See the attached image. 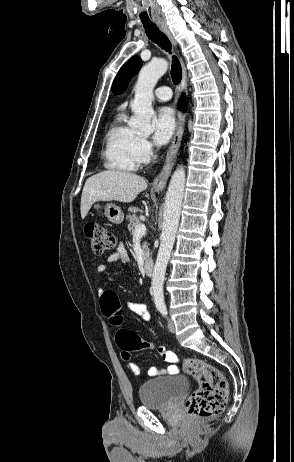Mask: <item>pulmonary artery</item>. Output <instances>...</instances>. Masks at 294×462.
Here are the masks:
<instances>
[{
    "label": "pulmonary artery",
    "mask_w": 294,
    "mask_h": 462,
    "mask_svg": "<svg viewBox=\"0 0 294 462\" xmlns=\"http://www.w3.org/2000/svg\"><path fill=\"white\" fill-rule=\"evenodd\" d=\"M154 95L160 101H168L172 97V90L168 86H162L155 89Z\"/></svg>",
    "instance_id": "e3ab8cb5"
}]
</instances>
